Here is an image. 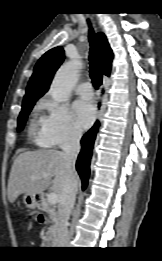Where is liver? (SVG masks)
Wrapping results in <instances>:
<instances>
[{
    "label": "liver",
    "mask_w": 162,
    "mask_h": 261,
    "mask_svg": "<svg viewBox=\"0 0 162 261\" xmlns=\"http://www.w3.org/2000/svg\"><path fill=\"white\" fill-rule=\"evenodd\" d=\"M35 179H32V177ZM68 169L64 153L54 149L25 151L13 162L8 181V200L13 203L20 194H41L50 183L52 191L61 196L67 182ZM74 181L79 185L76 171Z\"/></svg>",
    "instance_id": "1"
}]
</instances>
